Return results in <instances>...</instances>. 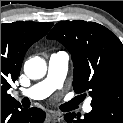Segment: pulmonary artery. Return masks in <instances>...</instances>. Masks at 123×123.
Wrapping results in <instances>:
<instances>
[{"instance_id": "obj_1", "label": "pulmonary artery", "mask_w": 123, "mask_h": 123, "mask_svg": "<svg viewBox=\"0 0 123 123\" xmlns=\"http://www.w3.org/2000/svg\"><path fill=\"white\" fill-rule=\"evenodd\" d=\"M68 62L69 55L66 52L60 51L52 54L49 58L46 77L30 88L20 91L19 94L33 100L46 98L62 86L67 74ZM83 109L85 112H90L92 110L90 102H87Z\"/></svg>"}]
</instances>
